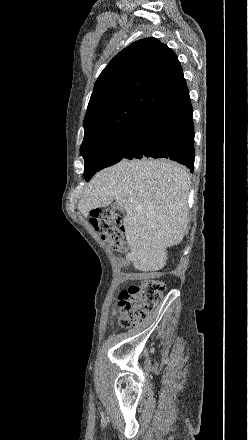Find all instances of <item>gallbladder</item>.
Masks as SVG:
<instances>
[{"instance_id":"bac80fb5","label":"gallbladder","mask_w":248,"mask_h":440,"mask_svg":"<svg viewBox=\"0 0 248 440\" xmlns=\"http://www.w3.org/2000/svg\"><path fill=\"white\" fill-rule=\"evenodd\" d=\"M112 209H113V210H118V209H122V207H121L118 203H114V204L112 205Z\"/></svg>"}]
</instances>
